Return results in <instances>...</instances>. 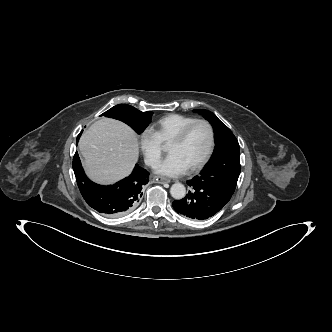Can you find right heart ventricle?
<instances>
[{
    "instance_id": "obj_1",
    "label": "right heart ventricle",
    "mask_w": 332,
    "mask_h": 332,
    "mask_svg": "<svg viewBox=\"0 0 332 332\" xmlns=\"http://www.w3.org/2000/svg\"><path fill=\"white\" fill-rule=\"evenodd\" d=\"M195 119V117L182 114H169L158 119L151 130L161 143L167 144L185 125Z\"/></svg>"
}]
</instances>
